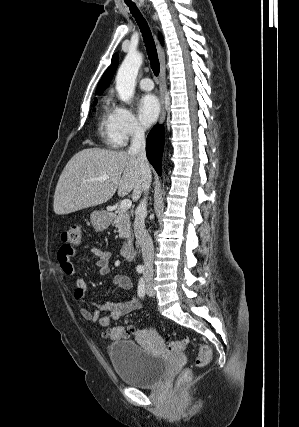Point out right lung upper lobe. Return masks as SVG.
<instances>
[{"label": "right lung upper lobe", "mask_w": 299, "mask_h": 427, "mask_svg": "<svg viewBox=\"0 0 299 427\" xmlns=\"http://www.w3.org/2000/svg\"><path fill=\"white\" fill-rule=\"evenodd\" d=\"M160 40L162 41L161 35H160ZM117 65H118V55L114 54L112 57L111 65L107 68L101 80L99 81L96 94H101L105 90V88L109 85V83L111 82L112 76L114 75L115 70L117 68Z\"/></svg>", "instance_id": "cb5924a9"}]
</instances>
